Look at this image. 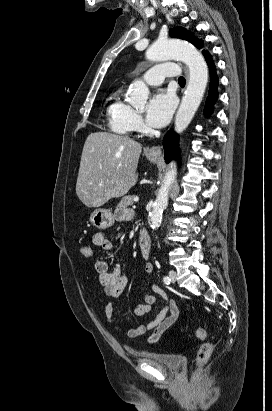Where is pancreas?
Listing matches in <instances>:
<instances>
[{"instance_id":"obj_1","label":"pancreas","mask_w":272,"mask_h":411,"mask_svg":"<svg viewBox=\"0 0 272 411\" xmlns=\"http://www.w3.org/2000/svg\"><path fill=\"white\" fill-rule=\"evenodd\" d=\"M133 200H134L133 195H127L123 197L120 203L116 207V212L127 210L129 206L133 205L134 203Z\"/></svg>"}]
</instances>
